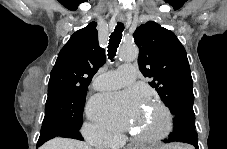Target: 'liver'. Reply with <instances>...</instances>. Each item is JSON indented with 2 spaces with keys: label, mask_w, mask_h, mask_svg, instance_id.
Returning <instances> with one entry per match:
<instances>
[{
  "label": "liver",
  "mask_w": 227,
  "mask_h": 149,
  "mask_svg": "<svg viewBox=\"0 0 227 149\" xmlns=\"http://www.w3.org/2000/svg\"><path fill=\"white\" fill-rule=\"evenodd\" d=\"M171 147L172 146H166V148ZM41 149H91V147L88 144L77 140L55 138L41 146Z\"/></svg>",
  "instance_id": "liver-1"
}]
</instances>
